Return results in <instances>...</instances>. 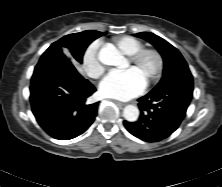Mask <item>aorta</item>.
Masks as SVG:
<instances>
[{"label": "aorta", "instance_id": "aorta-1", "mask_svg": "<svg viewBox=\"0 0 222 187\" xmlns=\"http://www.w3.org/2000/svg\"><path fill=\"white\" fill-rule=\"evenodd\" d=\"M98 59L107 66H119L123 62L122 54L111 46L102 47ZM123 117L129 122H135L139 117L138 108L134 105H127L123 110Z\"/></svg>", "mask_w": 222, "mask_h": 187}]
</instances>
